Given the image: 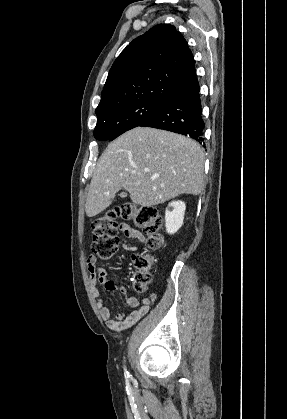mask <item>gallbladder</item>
<instances>
[{"mask_svg": "<svg viewBox=\"0 0 287 419\" xmlns=\"http://www.w3.org/2000/svg\"><path fill=\"white\" fill-rule=\"evenodd\" d=\"M120 197H121V198H125V197H127V193H126V192H122V193H120Z\"/></svg>", "mask_w": 287, "mask_h": 419, "instance_id": "bac80fb5", "label": "gallbladder"}]
</instances>
